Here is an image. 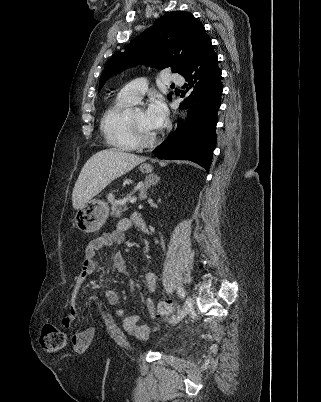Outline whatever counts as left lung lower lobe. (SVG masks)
Returning <instances> with one entry per match:
<instances>
[{"label":"left lung lower lobe","instance_id":"obj_1","mask_svg":"<svg viewBox=\"0 0 321 402\" xmlns=\"http://www.w3.org/2000/svg\"><path fill=\"white\" fill-rule=\"evenodd\" d=\"M181 75L187 81L183 86L186 92L191 90L181 104L189 108V119L153 152L159 159H187L209 171L223 91L221 70L210 39Z\"/></svg>","mask_w":321,"mask_h":402}]
</instances>
